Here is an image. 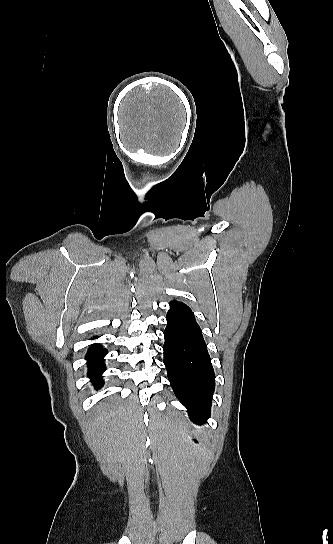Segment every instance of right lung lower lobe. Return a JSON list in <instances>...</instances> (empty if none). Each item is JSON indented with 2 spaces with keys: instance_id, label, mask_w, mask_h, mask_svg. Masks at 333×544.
<instances>
[{
  "instance_id": "obj_1",
  "label": "right lung lower lobe",
  "mask_w": 333,
  "mask_h": 544,
  "mask_svg": "<svg viewBox=\"0 0 333 544\" xmlns=\"http://www.w3.org/2000/svg\"><path fill=\"white\" fill-rule=\"evenodd\" d=\"M94 337L91 339H95ZM107 354V350L102 348L101 345L92 346L87 354L85 359L89 367L88 377L91 379L95 386L102 385V374L105 371L104 357Z\"/></svg>"
}]
</instances>
